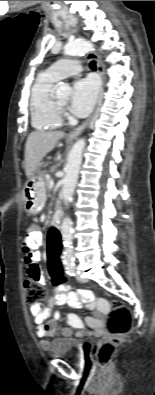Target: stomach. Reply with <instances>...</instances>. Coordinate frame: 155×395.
<instances>
[{"label":"stomach","mask_w":155,"mask_h":395,"mask_svg":"<svg viewBox=\"0 0 155 395\" xmlns=\"http://www.w3.org/2000/svg\"><path fill=\"white\" fill-rule=\"evenodd\" d=\"M23 197L28 213L37 214L43 209L46 201V188L38 170H35L28 179L23 190Z\"/></svg>","instance_id":"stomach-1"}]
</instances>
